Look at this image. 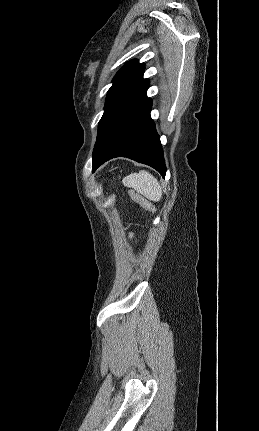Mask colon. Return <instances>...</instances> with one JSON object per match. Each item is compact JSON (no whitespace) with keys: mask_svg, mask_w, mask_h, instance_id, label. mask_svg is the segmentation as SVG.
Masks as SVG:
<instances>
[{"mask_svg":"<svg viewBox=\"0 0 259 431\" xmlns=\"http://www.w3.org/2000/svg\"><path fill=\"white\" fill-rule=\"evenodd\" d=\"M130 195L143 209L151 213L155 212L156 209L149 200L134 191H130Z\"/></svg>","mask_w":259,"mask_h":431,"instance_id":"colon-1","label":"colon"}]
</instances>
